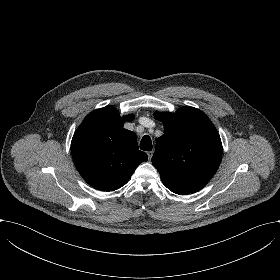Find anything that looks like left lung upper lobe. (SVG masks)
Instances as JSON below:
<instances>
[{
    "label": "left lung upper lobe",
    "instance_id": "obj_1",
    "mask_svg": "<svg viewBox=\"0 0 280 280\" xmlns=\"http://www.w3.org/2000/svg\"><path fill=\"white\" fill-rule=\"evenodd\" d=\"M164 135L152 157L163 184L185 195L202 189L216 173L222 159V143L211 120L199 109L185 106L175 113L155 112Z\"/></svg>",
    "mask_w": 280,
    "mask_h": 280
}]
</instances>
